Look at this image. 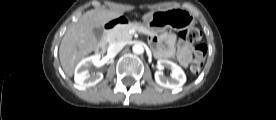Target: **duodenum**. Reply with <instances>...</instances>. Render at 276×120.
Segmentation results:
<instances>
[{
    "instance_id": "1",
    "label": "duodenum",
    "mask_w": 276,
    "mask_h": 120,
    "mask_svg": "<svg viewBox=\"0 0 276 120\" xmlns=\"http://www.w3.org/2000/svg\"><path fill=\"white\" fill-rule=\"evenodd\" d=\"M127 23V20L123 17L121 18H117L115 20H112L110 22H108L106 25H105V29H104V38L103 40L99 43L98 47H97V52L99 54H103L105 53L106 49H107V42H108V38H109V34L110 32L116 28L117 26H120V25H123V24H126Z\"/></svg>"
}]
</instances>
